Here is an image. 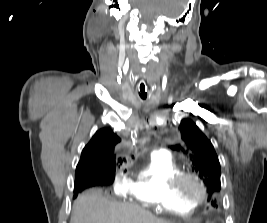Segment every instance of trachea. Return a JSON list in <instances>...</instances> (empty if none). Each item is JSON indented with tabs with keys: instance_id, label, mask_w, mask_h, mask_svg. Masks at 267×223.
<instances>
[{
	"instance_id": "1",
	"label": "trachea",
	"mask_w": 267,
	"mask_h": 223,
	"mask_svg": "<svg viewBox=\"0 0 267 223\" xmlns=\"http://www.w3.org/2000/svg\"><path fill=\"white\" fill-rule=\"evenodd\" d=\"M146 86H147V83L145 82V80L141 79L138 82V86H137L138 94H139L140 98L143 100H145L147 98V92L145 91Z\"/></svg>"
}]
</instances>
